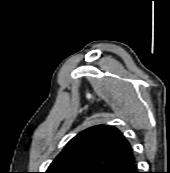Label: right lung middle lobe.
I'll list each match as a JSON object with an SVG mask.
<instances>
[{"mask_svg": "<svg viewBox=\"0 0 170 173\" xmlns=\"http://www.w3.org/2000/svg\"><path fill=\"white\" fill-rule=\"evenodd\" d=\"M62 173H77V171H62Z\"/></svg>", "mask_w": 170, "mask_h": 173, "instance_id": "obj_1", "label": "right lung middle lobe"}]
</instances>
